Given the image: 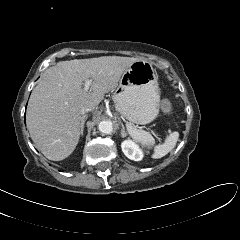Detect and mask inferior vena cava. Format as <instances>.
<instances>
[{
  "mask_svg": "<svg viewBox=\"0 0 240 240\" xmlns=\"http://www.w3.org/2000/svg\"><path fill=\"white\" fill-rule=\"evenodd\" d=\"M93 109L91 107H84L81 109V114L84 115L85 113L92 111Z\"/></svg>",
  "mask_w": 240,
  "mask_h": 240,
  "instance_id": "1",
  "label": "inferior vena cava"
}]
</instances>
